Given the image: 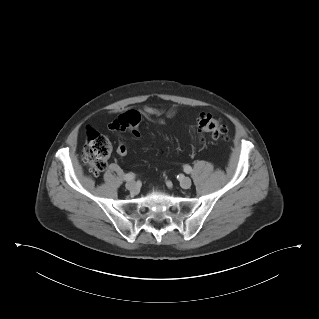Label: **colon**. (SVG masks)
<instances>
[{"label": "colon", "mask_w": 319, "mask_h": 319, "mask_svg": "<svg viewBox=\"0 0 319 319\" xmlns=\"http://www.w3.org/2000/svg\"><path fill=\"white\" fill-rule=\"evenodd\" d=\"M140 122V113L136 110H130L117 118L115 128L121 132L137 134ZM197 130L200 134L208 135L216 140L225 139L228 135L227 125L210 114L199 116ZM110 154L111 144L108 138L95 131H89L83 149V160L94 175L100 174L106 168Z\"/></svg>", "instance_id": "5ec220e1"}]
</instances>
